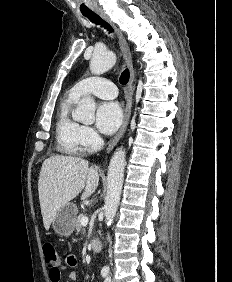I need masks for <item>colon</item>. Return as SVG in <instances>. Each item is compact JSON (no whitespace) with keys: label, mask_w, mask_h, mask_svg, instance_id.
<instances>
[{"label":"colon","mask_w":232,"mask_h":282,"mask_svg":"<svg viewBox=\"0 0 232 282\" xmlns=\"http://www.w3.org/2000/svg\"><path fill=\"white\" fill-rule=\"evenodd\" d=\"M43 252L47 267L50 271L56 272L60 264V258L56 248L51 243H45L43 245Z\"/></svg>","instance_id":"1"}]
</instances>
